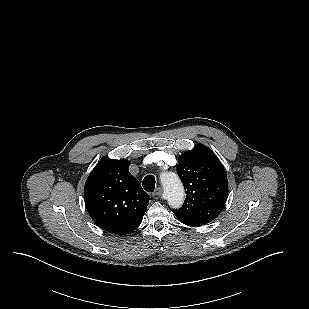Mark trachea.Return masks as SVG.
<instances>
[{"label":"trachea","mask_w":309,"mask_h":309,"mask_svg":"<svg viewBox=\"0 0 309 309\" xmlns=\"http://www.w3.org/2000/svg\"><path fill=\"white\" fill-rule=\"evenodd\" d=\"M143 188L147 192H152L155 189V178L153 175H147L142 182Z\"/></svg>","instance_id":"trachea-1"}]
</instances>
